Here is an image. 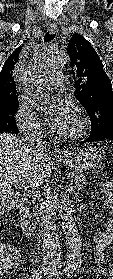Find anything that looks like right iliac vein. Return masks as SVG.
I'll return each mask as SVG.
<instances>
[{
	"mask_svg": "<svg viewBox=\"0 0 113 279\" xmlns=\"http://www.w3.org/2000/svg\"><path fill=\"white\" fill-rule=\"evenodd\" d=\"M42 271H43V272H48V271H49V268H48L47 266H43V267H42Z\"/></svg>",
	"mask_w": 113,
	"mask_h": 279,
	"instance_id": "obj_1",
	"label": "right iliac vein"
}]
</instances>
